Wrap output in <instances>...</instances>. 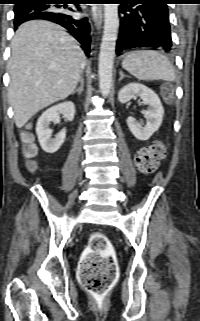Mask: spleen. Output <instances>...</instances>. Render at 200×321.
I'll return each instance as SVG.
<instances>
[{
  "mask_svg": "<svg viewBox=\"0 0 200 321\" xmlns=\"http://www.w3.org/2000/svg\"><path fill=\"white\" fill-rule=\"evenodd\" d=\"M122 66L134 77L143 81L162 79L174 81L175 70L170 60L154 50L132 51L125 55Z\"/></svg>",
  "mask_w": 200,
  "mask_h": 321,
  "instance_id": "obj_1",
  "label": "spleen"
}]
</instances>
